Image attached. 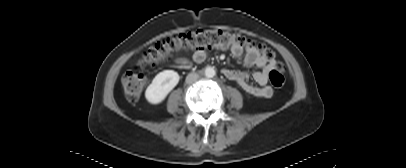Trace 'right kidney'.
<instances>
[{
	"label": "right kidney",
	"instance_id": "ca27d5eb",
	"mask_svg": "<svg viewBox=\"0 0 406 168\" xmlns=\"http://www.w3.org/2000/svg\"><path fill=\"white\" fill-rule=\"evenodd\" d=\"M179 79L178 73L173 70H164L158 73L146 89L147 101L151 104L161 103L178 84Z\"/></svg>",
	"mask_w": 406,
	"mask_h": 168
}]
</instances>
